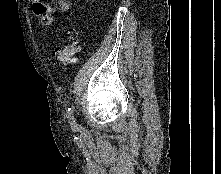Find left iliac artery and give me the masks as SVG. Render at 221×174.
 Returning a JSON list of instances; mask_svg holds the SVG:
<instances>
[{
    "label": "left iliac artery",
    "mask_w": 221,
    "mask_h": 174,
    "mask_svg": "<svg viewBox=\"0 0 221 174\" xmlns=\"http://www.w3.org/2000/svg\"><path fill=\"white\" fill-rule=\"evenodd\" d=\"M66 117L70 121V123L75 126L76 123H75V119L73 116V106H69L67 108Z\"/></svg>",
    "instance_id": "obj_1"
}]
</instances>
